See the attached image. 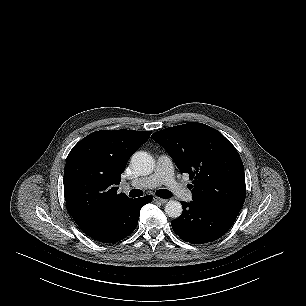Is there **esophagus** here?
Wrapping results in <instances>:
<instances>
[{
  "mask_svg": "<svg viewBox=\"0 0 306 306\" xmlns=\"http://www.w3.org/2000/svg\"><path fill=\"white\" fill-rule=\"evenodd\" d=\"M153 200L156 201V202H159L161 204H165L168 201L167 199H163V198H160V197H157V196H154Z\"/></svg>",
  "mask_w": 306,
  "mask_h": 306,
  "instance_id": "1",
  "label": "esophagus"
}]
</instances>
